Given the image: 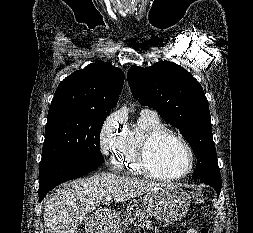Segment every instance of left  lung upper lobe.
I'll use <instances>...</instances> for the list:
<instances>
[{
    "label": "left lung upper lobe",
    "instance_id": "obj_1",
    "mask_svg": "<svg viewBox=\"0 0 253 233\" xmlns=\"http://www.w3.org/2000/svg\"><path fill=\"white\" fill-rule=\"evenodd\" d=\"M127 79L135 99L179 129L192 147L197 157L192 178L221 182L208 101L199 82L169 61L148 68L132 66Z\"/></svg>",
    "mask_w": 253,
    "mask_h": 233
}]
</instances>
